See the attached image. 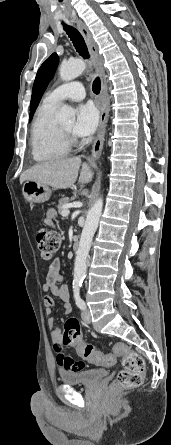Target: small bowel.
Instances as JSON below:
<instances>
[{"label":"small bowel","mask_w":171,"mask_h":445,"mask_svg":"<svg viewBox=\"0 0 171 445\" xmlns=\"http://www.w3.org/2000/svg\"><path fill=\"white\" fill-rule=\"evenodd\" d=\"M45 222L49 226H54L53 223V211L48 210ZM61 263L59 260H54L50 267L43 284V290L46 293L43 299L44 312L46 315H51L55 303L50 295L59 298L62 302L61 309L65 314H69L72 311V306L70 304L69 287L62 283V276L60 274ZM47 327L51 332V340L53 343L54 352L56 354V362L62 371H77L82 370L83 364L81 362L75 361L71 356L66 355L61 347V332L57 327L56 322L53 318H48Z\"/></svg>","instance_id":"small-bowel-1"}]
</instances>
